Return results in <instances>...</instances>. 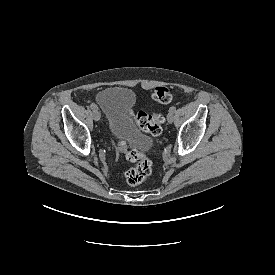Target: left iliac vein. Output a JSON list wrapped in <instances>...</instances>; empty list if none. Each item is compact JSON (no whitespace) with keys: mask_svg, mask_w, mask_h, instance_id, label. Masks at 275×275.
<instances>
[{"mask_svg":"<svg viewBox=\"0 0 275 275\" xmlns=\"http://www.w3.org/2000/svg\"><path fill=\"white\" fill-rule=\"evenodd\" d=\"M168 123H172L174 121V115L173 113H169L167 116Z\"/></svg>","mask_w":275,"mask_h":275,"instance_id":"obj_1","label":"left iliac vein"}]
</instances>
